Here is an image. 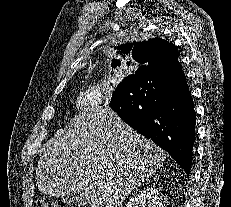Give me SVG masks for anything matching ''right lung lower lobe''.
<instances>
[{"instance_id":"right-lung-lower-lobe-1","label":"right lung lower lobe","mask_w":231,"mask_h":207,"mask_svg":"<svg viewBox=\"0 0 231 207\" xmlns=\"http://www.w3.org/2000/svg\"><path fill=\"white\" fill-rule=\"evenodd\" d=\"M109 106L129 126L167 151L189 176L195 141L194 105L181 65L139 67L124 78Z\"/></svg>"}]
</instances>
